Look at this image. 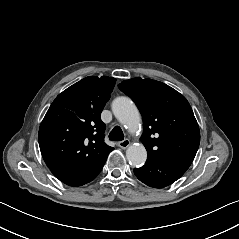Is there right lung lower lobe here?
<instances>
[{
    "label": "right lung lower lobe",
    "instance_id": "98d812e1",
    "mask_svg": "<svg viewBox=\"0 0 239 239\" xmlns=\"http://www.w3.org/2000/svg\"><path fill=\"white\" fill-rule=\"evenodd\" d=\"M107 157H105L97 165L89 169L83 170L52 169L51 172L66 185L78 187L91 182L97 177V175L101 172L107 160Z\"/></svg>",
    "mask_w": 239,
    "mask_h": 239
}]
</instances>
